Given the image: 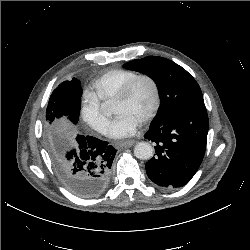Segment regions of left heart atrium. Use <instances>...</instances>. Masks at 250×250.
<instances>
[{
  "mask_svg": "<svg viewBox=\"0 0 250 250\" xmlns=\"http://www.w3.org/2000/svg\"><path fill=\"white\" fill-rule=\"evenodd\" d=\"M140 121L129 114H120L111 124L109 136L116 139L126 138L136 133Z\"/></svg>",
  "mask_w": 250,
  "mask_h": 250,
  "instance_id": "1",
  "label": "left heart atrium"
}]
</instances>
